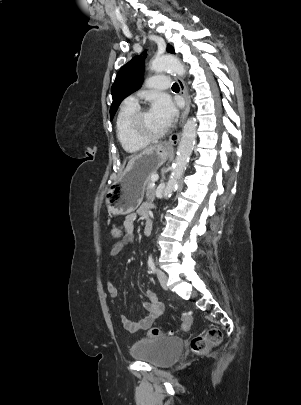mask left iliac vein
Returning <instances> with one entry per match:
<instances>
[{
    "mask_svg": "<svg viewBox=\"0 0 301 405\" xmlns=\"http://www.w3.org/2000/svg\"><path fill=\"white\" fill-rule=\"evenodd\" d=\"M157 278L164 289H167V275L160 269H156Z\"/></svg>",
    "mask_w": 301,
    "mask_h": 405,
    "instance_id": "4c4485c4",
    "label": "left iliac vein"
}]
</instances>
